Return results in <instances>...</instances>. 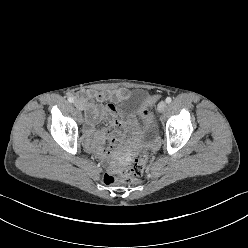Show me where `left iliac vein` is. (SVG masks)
<instances>
[{
	"label": "left iliac vein",
	"instance_id": "4c4485c4",
	"mask_svg": "<svg viewBox=\"0 0 248 248\" xmlns=\"http://www.w3.org/2000/svg\"><path fill=\"white\" fill-rule=\"evenodd\" d=\"M167 104L165 101H160L158 106H157V110L158 112H163L166 108Z\"/></svg>",
	"mask_w": 248,
	"mask_h": 248
}]
</instances>
